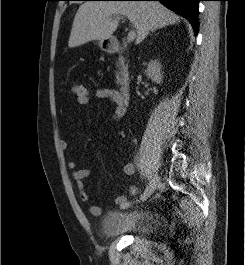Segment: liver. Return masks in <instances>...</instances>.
<instances>
[{
  "mask_svg": "<svg viewBox=\"0 0 245 265\" xmlns=\"http://www.w3.org/2000/svg\"><path fill=\"white\" fill-rule=\"evenodd\" d=\"M121 15L134 25L136 44H140L150 31L180 21L178 15L159 2L87 1L76 12L68 46L73 48L93 40L109 39L116 31Z\"/></svg>",
  "mask_w": 245,
  "mask_h": 265,
  "instance_id": "1",
  "label": "liver"
}]
</instances>
